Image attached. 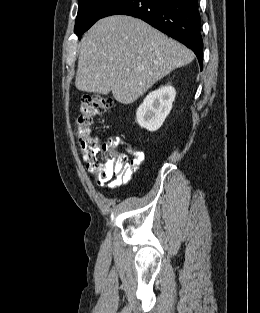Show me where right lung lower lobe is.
<instances>
[{"instance_id":"right-lung-lower-lobe-1","label":"right lung lower lobe","mask_w":260,"mask_h":313,"mask_svg":"<svg viewBox=\"0 0 260 313\" xmlns=\"http://www.w3.org/2000/svg\"><path fill=\"white\" fill-rule=\"evenodd\" d=\"M140 18L180 41L197 56L202 68L203 42L198 0H118L102 16Z\"/></svg>"}]
</instances>
